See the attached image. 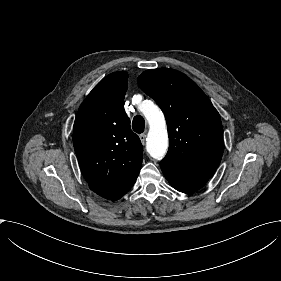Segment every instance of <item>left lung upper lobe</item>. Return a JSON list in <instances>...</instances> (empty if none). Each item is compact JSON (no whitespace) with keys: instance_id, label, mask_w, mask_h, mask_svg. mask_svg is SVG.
<instances>
[{"instance_id":"left-lung-upper-lobe-1","label":"left lung upper lobe","mask_w":281,"mask_h":281,"mask_svg":"<svg viewBox=\"0 0 281 281\" xmlns=\"http://www.w3.org/2000/svg\"><path fill=\"white\" fill-rule=\"evenodd\" d=\"M137 81L165 114L169 150L164 160L186 168L216 169L224 150L222 124L204 92L169 68L147 70Z\"/></svg>"}]
</instances>
